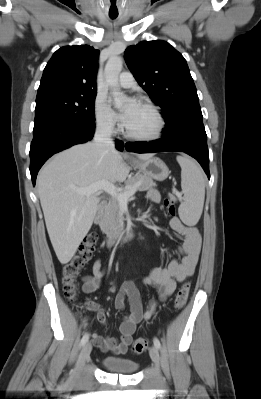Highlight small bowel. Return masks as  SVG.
Instances as JSON below:
<instances>
[{
	"label": "small bowel",
	"instance_id": "obj_1",
	"mask_svg": "<svg viewBox=\"0 0 261 399\" xmlns=\"http://www.w3.org/2000/svg\"><path fill=\"white\" fill-rule=\"evenodd\" d=\"M146 196L152 203L160 202V195L155 189L148 190ZM170 227L184 238L178 248L182 256L181 260L172 259L166 267L153 268L143 280L146 286L157 289L160 300H165L175 291L177 281L182 282L194 273L202 246V236L197 227L183 224L178 217H173L170 220ZM105 273L106 269L102 261L96 259L92 266V274L84 277L83 292L86 294L94 292L100 286ZM126 299L129 302L130 311L123 317L119 326L120 338H104L96 333L91 335L93 343L103 352H111L116 355L124 354L132 343L137 324L150 319L155 313L157 301L150 300L144 310L140 294L132 281H125L121 285L114 299L115 308L124 309ZM88 307L96 311L97 318L101 323L106 321V315L98 304L89 302Z\"/></svg>",
	"mask_w": 261,
	"mask_h": 399
}]
</instances>
